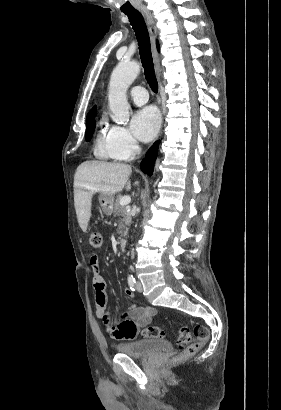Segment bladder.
<instances>
[{
    "instance_id": "1",
    "label": "bladder",
    "mask_w": 281,
    "mask_h": 410,
    "mask_svg": "<svg viewBox=\"0 0 281 410\" xmlns=\"http://www.w3.org/2000/svg\"><path fill=\"white\" fill-rule=\"evenodd\" d=\"M116 350L133 358H148L158 353L169 352L171 344L161 339H139L116 345Z\"/></svg>"
}]
</instances>
